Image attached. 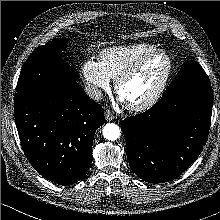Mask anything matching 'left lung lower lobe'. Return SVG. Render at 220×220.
<instances>
[{
    "label": "left lung lower lobe",
    "mask_w": 220,
    "mask_h": 220,
    "mask_svg": "<svg viewBox=\"0 0 220 220\" xmlns=\"http://www.w3.org/2000/svg\"><path fill=\"white\" fill-rule=\"evenodd\" d=\"M210 84L162 98L149 110L122 121L129 164L150 183L178 177L207 141L212 113Z\"/></svg>",
    "instance_id": "obj_1"
}]
</instances>
